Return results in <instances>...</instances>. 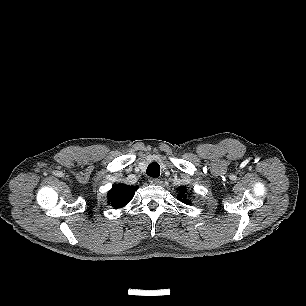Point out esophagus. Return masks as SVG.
I'll return each instance as SVG.
<instances>
[{
  "mask_svg": "<svg viewBox=\"0 0 306 306\" xmlns=\"http://www.w3.org/2000/svg\"><path fill=\"white\" fill-rule=\"evenodd\" d=\"M149 183L152 185H158L160 183V179L158 178H150Z\"/></svg>",
  "mask_w": 306,
  "mask_h": 306,
  "instance_id": "1",
  "label": "esophagus"
}]
</instances>
